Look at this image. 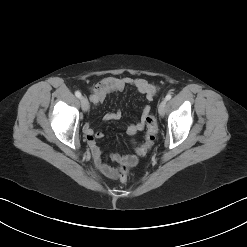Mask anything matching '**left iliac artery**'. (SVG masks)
<instances>
[{"instance_id": "44dca946", "label": "left iliac artery", "mask_w": 247, "mask_h": 247, "mask_svg": "<svg viewBox=\"0 0 247 247\" xmlns=\"http://www.w3.org/2000/svg\"><path fill=\"white\" fill-rule=\"evenodd\" d=\"M171 97H172V95H171V94H167V95H166V97H165L166 101L170 100V99H171Z\"/></svg>"}]
</instances>
